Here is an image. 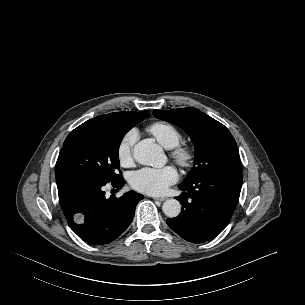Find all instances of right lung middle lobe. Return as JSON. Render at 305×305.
Masks as SVG:
<instances>
[{
  "mask_svg": "<svg viewBox=\"0 0 305 305\" xmlns=\"http://www.w3.org/2000/svg\"><path fill=\"white\" fill-rule=\"evenodd\" d=\"M138 122L95 117L75 128L66 138L55 166L56 179L79 177L107 184L121 178L119 146Z\"/></svg>",
  "mask_w": 305,
  "mask_h": 305,
  "instance_id": "dd1d6c3e",
  "label": "right lung middle lobe"
}]
</instances>
